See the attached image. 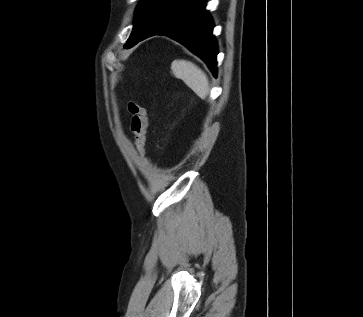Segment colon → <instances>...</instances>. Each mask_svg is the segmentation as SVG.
<instances>
[{
    "label": "colon",
    "mask_w": 363,
    "mask_h": 317,
    "mask_svg": "<svg viewBox=\"0 0 363 317\" xmlns=\"http://www.w3.org/2000/svg\"><path fill=\"white\" fill-rule=\"evenodd\" d=\"M128 111L131 115V131L134 135V143L136 150L144 153V147L147 134V114L143 106L135 101H130Z\"/></svg>",
    "instance_id": "1"
}]
</instances>
